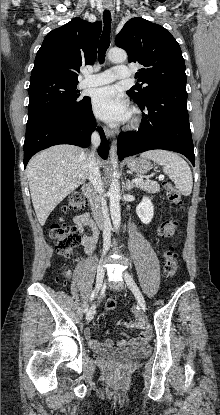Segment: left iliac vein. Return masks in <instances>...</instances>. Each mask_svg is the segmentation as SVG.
Here are the masks:
<instances>
[{
	"mask_svg": "<svg viewBox=\"0 0 220 415\" xmlns=\"http://www.w3.org/2000/svg\"><path fill=\"white\" fill-rule=\"evenodd\" d=\"M123 277H124L128 287L131 289V291L135 295L141 309L146 310V303H145L144 297H143L141 291L139 290L136 282L132 278V276L127 271H124L123 272Z\"/></svg>",
	"mask_w": 220,
	"mask_h": 415,
	"instance_id": "1",
	"label": "left iliac vein"
}]
</instances>
